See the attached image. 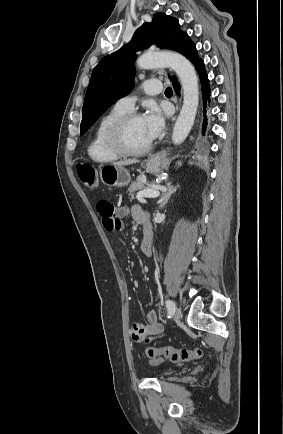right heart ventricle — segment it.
<instances>
[{"label": "right heart ventricle", "mask_w": 283, "mask_h": 434, "mask_svg": "<svg viewBox=\"0 0 283 434\" xmlns=\"http://www.w3.org/2000/svg\"><path fill=\"white\" fill-rule=\"evenodd\" d=\"M128 113L118 107H113L97 123L92 138L89 141L87 152L89 157L97 163H112L119 160L122 156L112 151L105 139L108 127L119 117Z\"/></svg>", "instance_id": "right-heart-ventricle-1"}]
</instances>
